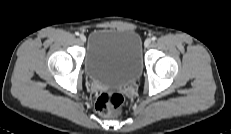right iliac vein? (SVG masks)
Wrapping results in <instances>:
<instances>
[{
    "label": "right iliac vein",
    "mask_w": 231,
    "mask_h": 134,
    "mask_svg": "<svg viewBox=\"0 0 231 134\" xmlns=\"http://www.w3.org/2000/svg\"><path fill=\"white\" fill-rule=\"evenodd\" d=\"M79 39H80L81 42H85L86 41V37L83 34L80 35Z\"/></svg>",
    "instance_id": "63e3f726"
}]
</instances>
